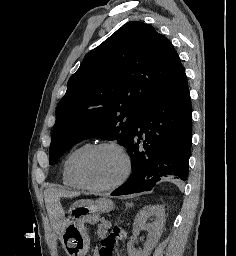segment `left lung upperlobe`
I'll return each mask as SVG.
<instances>
[{
    "mask_svg": "<svg viewBox=\"0 0 236 256\" xmlns=\"http://www.w3.org/2000/svg\"><path fill=\"white\" fill-rule=\"evenodd\" d=\"M184 71L170 41L153 26L126 23L69 79L56 108L50 164L87 138L117 140L128 148L141 111Z\"/></svg>",
    "mask_w": 236,
    "mask_h": 256,
    "instance_id": "1",
    "label": "left lung upper lobe"
}]
</instances>
